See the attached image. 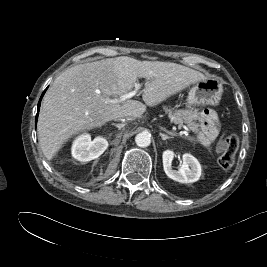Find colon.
Instances as JSON below:
<instances>
[{"label":"colon","mask_w":267,"mask_h":267,"mask_svg":"<svg viewBox=\"0 0 267 267\" xmlns=\"http://www.w3.org/2000/svg\"><path fill=\"white\" fill-rule=\"evenodd\" d=\"M237 144L238 138L235 134L227 136L220 142L218 147L220 152L219 165L222 168L227 169L232 165Z\"/></svg>","instance_id":"1"}]
</instances>
